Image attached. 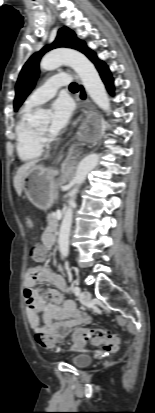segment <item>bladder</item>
Segmentation results:
<instances>
[{
	"instance_id": "bladder-1",
	"label": "bladder",
	"mask_w": 155,
	"mask_h": 413,
	"mask_svg": "<svg viewBox=\"0 0 155 413\" xmlns=\"http://www.w3.org/2000/svg\"><path fill=\"white\" fill-rule=\"evenodd\" d=\"M93 361V358L88 354L75 355L71 362L77 368H84L89 366Z\"/></svg>"
}]
</instances>
